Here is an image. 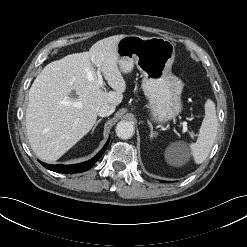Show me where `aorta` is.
Wrapping results in <instances>:
<instances>
[{
  "label": "aorta",
  "instance_id": "1",
  "mask_svg": "<svg viewBox=\"0 0 247 247\" xmlns=\"http://www.w3.org/2000/svg\"><path fill=\"white\" fill-rule=\"evenodd\" d=\"M116 134L121 139H129L134 134V125L130 121L122 120L116 125Z\"/></svg>",
  "mask_w": 247,
  "mask_h": 247
}]
</instances>
